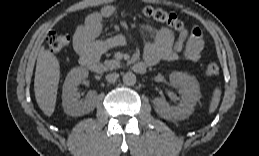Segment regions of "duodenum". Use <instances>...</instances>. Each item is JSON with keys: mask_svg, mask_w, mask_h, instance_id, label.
<instances>
[{"mask_svg": "<svg viewBox=\"0 0 259 156\" xmlns=\"http://www.w3.org/2000/svg\"><path fill=\"white\" fill-rule=\"evenodd\" d=\"M82 63L91 71L95 73H102L105 70L104 65L96 58L90 55H84L81 57ZM147 64L144 62H137L133 65V70L136 73L143 74L146 72Z\"/></svg>", "mask_w": 259, "mask_h": 156, "instance_id": "1", "label": "duodenum"}]
</instances>
